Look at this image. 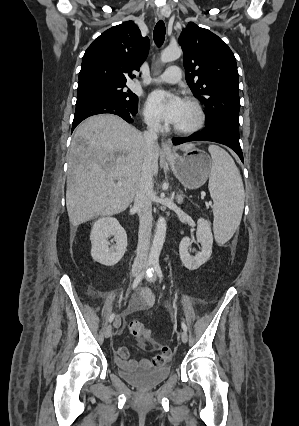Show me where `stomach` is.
Masks as SVG:
<instances>
[{
	"mask_svg": "<svg viewBox=\"0 0 299 426\" xmlns=\"http://www.w3.org/2000/svg\"><path fill=\"white\" fill-rule=\"evenodd\" d=\"M176 178L185 188L201 187L212 169V159L204 151L192 148L183 155L171 154L165 156Z\"/></svg>",
	"mask_w": 299,
	"mask_h": 426,
	"instance_id": "1",
	"label": "stomach"
}]
</instances>
